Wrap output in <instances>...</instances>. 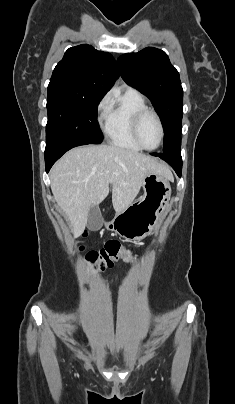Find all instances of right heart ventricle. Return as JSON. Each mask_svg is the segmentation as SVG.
I'll return each mask as SVG.
<instances>
[{"instance_id":"obj_1","label":"right heart ventricle","mask_w":235,"mask_h":404,"mask_svg":"<svg viewBox=\"0 0 235 404\" xmlns=\"http://www.w3.org/2000/svg\"><path fill=\"white\" fill-rule=\"evenodd\" d=\"M145 108L147 104L143 96L134 89H127L110 103L103 130L112 145L133 151L142 150L132 136L131 126L135 114Z\"/></svg>"}]
</instances>
